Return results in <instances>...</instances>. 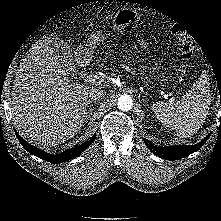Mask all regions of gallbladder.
I'll use <instances>...</instances> for the list:
<instances>
[{"label":"gallbladder","instance_id":"gallbladder-1","mask_svg":"<svg viewBox=\"0 0 221 221\" xmlns=\"http://www.w3.org/2000/svg\"><path fill=\"white\" fill-rule=\"evenodd\" d=\"M51 47L55 56L67 72H74L75 64L72 48L62 39L53 38Z\"/></svg>","mask_w":221,"mask_h":221}]
</instances>
